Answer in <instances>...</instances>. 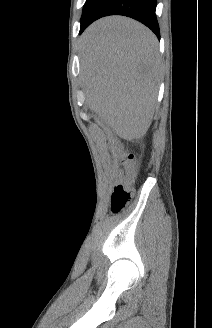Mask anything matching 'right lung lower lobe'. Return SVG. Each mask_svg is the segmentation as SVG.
<instances>
[{
  "mask_svg": "<svg viewBox=\"0 0 212 328\" xmlns=\"http://www.w3.org/2000/svg\"><path fill=\"white\" fill-rule=\"evenodd\" d=\"M157 0H97L81 22L79 34L95 20L108 15L131 17L149 27L160 38L156 19Z\"/></svg>",
  "mask_w": 212,
  "mask_h": 328,
  "instance_id": "obj_1",
  "label": "right lung lower lobe"
}]
</instances>
